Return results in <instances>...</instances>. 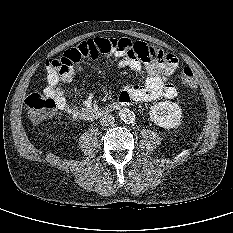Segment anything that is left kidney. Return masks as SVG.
<instances>
[{"label":"left kidney","mask_w":233,"mask_h":233,"mask_svg":"<svg viewBox=\"0 0 233 233\" xmlns=\"http://www.w3.org/2000/svg\"><path fill=\"white\" fill-rule=\"evenodd\" d=\"M149 115L153 123L165 129H170L179 126L182 110L176 103L164 101L153 105Z\"/></svg>","instance_id":"obj_1"}]
</instances>
